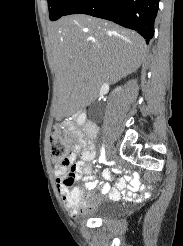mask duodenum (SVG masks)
<instances>
[{"label":"duodenum","instance_id":"duodenum-1","mask_svg":"<svg viewBox=\"0 0 183 246\" xmlns=\"http://www.w3.org/2000/svg\"><path fill=\"white\" fill-rule=\"evenodd\" d=\"M84 131L89 137H94L96 135V126L91 122H87L84 126Z\"/></svg>","mask_w":183,"mask_h":246}]
</instances>
